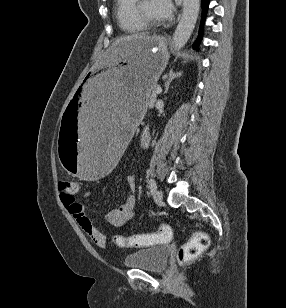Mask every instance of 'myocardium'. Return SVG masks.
<instances>
[{"instance_id": "obj_1", "label": "myocardium", "mask_w": 286, "mask_h": 308, "mask_svg": "<svg viewBox=\"0 0 286 308\" xmlns=\"http://www.w3.org/2000/svg\"><path fill=\"white\" fill-rule=\"evenodd\" d=\"M144 0H137L136 4L134 5L133 11L136 18L146 27V28H153L159 26L161 23L160 21H152L148 19L142 12H141V5Z\"/></svg>"}]
</instances>
